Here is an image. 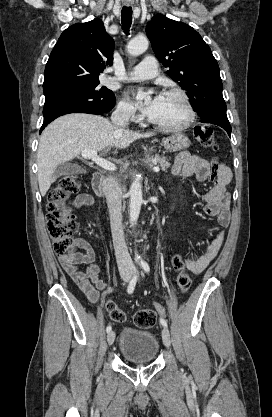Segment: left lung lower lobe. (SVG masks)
Here are the masks:
<instances>
[{
  "mask_svg": "<svg viewBox=\"0 0 272 417\" xmlns=\"http://www.w3.org/2000/svg\"><path fill=\"white\" fill-rule=\"evenodd\" d=\"M222 128L226 130L229 136H231V127H222Z\"/></svg>",
  "mask_w": 272,
  "mask_h": 417,
  "instance_id": "left-lung-lower-lobe-1",
  "label": "left lung lower lobe"
}]
</instances>
